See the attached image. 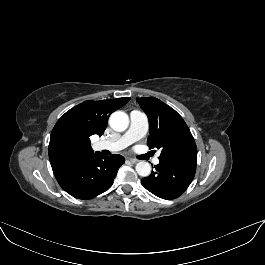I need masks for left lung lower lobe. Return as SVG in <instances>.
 <instances>
[{"label":"left lung lower lobe","instance_id":"0a47b994","mask_svg":"<svg viewBox=\"0 0 265 265\" xmlns=\"http://www.w3.org/2000/svg\"><path fill=\"white\" fill-rule=\"evenodd\" d=\"M156 171L141 180L142 185L154 195L171 200L184 193L192 182L197 158L159 159Z\"/></svg>","mask_w":265,"mask_h":265}]
</instances>
